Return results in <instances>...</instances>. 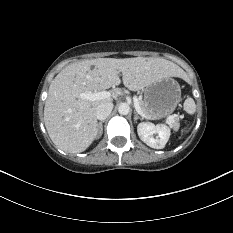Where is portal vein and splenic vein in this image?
I'll return each instance as SVG.
<instances>
[{
    "instance_id": "1",
    "label": "portal vein and splenic vein",
    "mask_w": 233,
    "mask_h": 233,
    "mask_svg": "<svg viewBox=\"0 0 233 233\" xmlns=\"http://www.w3.org/2000/svg\"><path fill=\"white\" fill-rule=\"evenodd\" d=\"M79 97L82 99H86L89 101H96V100H102V99H108L111 97V93L109 91H100V92H89V93H80ZM133 102H134V107L136 109V111L143 116L144 118H150L147 117V115H145L142 110L141 107L139 105V100L136 96L133 97ZM166 119L168 120V122L170 124L174 123V117L173 116H167Z\"/></svg>"
}]
</instances>
